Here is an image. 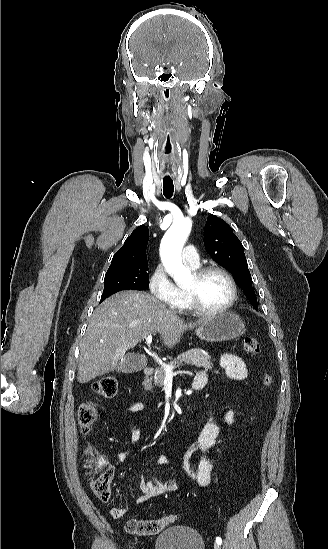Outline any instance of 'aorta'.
<instances>
[{"mask_svg": "<svg viewBox=\"0 0 328 549\" xmlns=\"http://www.w3.org/2000/svg\"><path fill=\"white\" fill-rule=\"evenodd\" d=\"M192 221L183 218L173 222L165 233L161 246V261L178 285H184L192 279L191 271L183 265L182 248L191 231Z\"/></svg>", "mask_w": 328, "mask_h": 549, "instance_id": "obj_1", "label": "aorta"}]
</instances>
